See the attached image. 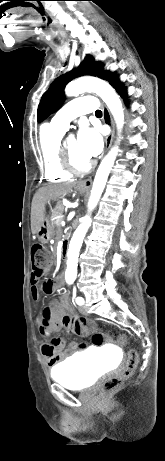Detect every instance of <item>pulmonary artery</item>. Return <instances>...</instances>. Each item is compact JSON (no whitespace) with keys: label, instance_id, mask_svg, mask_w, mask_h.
Returning <instances> with one entry per match:
<instances>
[{"label":"pulmonary artery","instance_id":"e3ab8cb5","mask_svg":"<svg viewBox=\"0 0 165 461\" xmlns=\"http://www.w3.org/2000/svg\"><path fill=\"white\" fill-rule=\"evenodd\" d=\"M98 103L94 97H80L68 102L51 119V124L63 131L68 129L69 123L79 115L95 112Z\"/></svg>","mask_w":165,"mask_h":461}]
</instances>
